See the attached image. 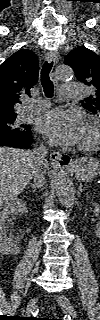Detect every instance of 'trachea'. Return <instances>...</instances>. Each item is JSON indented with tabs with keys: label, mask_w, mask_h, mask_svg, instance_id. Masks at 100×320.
Segmentation results:
<instances>
[{
	"label": "trachea",
	"mask_w": 100,
	"mask_h": 320,
	"mask_svg": "<svg viewBox=\"0 0 100 320\" xmlns=\"http://www.w3.org/2000/svg\"><path fill=\"white\" fill-rule=\"evenodd\" d=\"M52 66H53V62L46 61L41 70V84H42L44 93L47 97H52L53 91H54L53 83L49 77Z\"/></svg>",
	"instance_id": "trachea-1"
}]
</instances>
